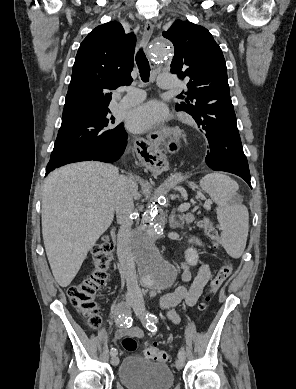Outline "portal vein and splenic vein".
I'll return each instance as SVG.
<instances>
[{
	"label": "portal vein and splenic vein",
	"mask_w": 296,
	"mask_h": 389,
	"mask_svg": "<svg viewBox=\"0 0 296 389\" xmlns=\"http://www.w3.org/2000/svg\"><path fill=\"white\" fill-rule=\"evenodd\" d=\"M189 208H190V204L184 203V204H181V205L178 207V211H179V212H185V211H187Z\"/></svg>",
	"instance_id": "1"
}]
</instances>
